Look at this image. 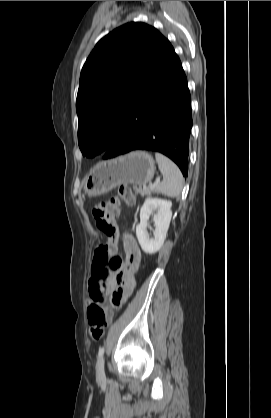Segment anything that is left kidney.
Returning <instances> with one entry per match:
<instances>
[{"instance_id":"1","label":"left kidney","mask_w":271,"mask_h":418,"mask_svg":"<svg viewBox=\"0 0 271 418\" xmlns=\"http://www.w3.org/2000/svg\"><path fill=\"white\" fill-rule=\"evenodd\" d=\"M171 207V201L159 198H147L142 205L140 224L136 226V236L145 253L154 254L163 246L172 217ZM153 213L155 230L153 232L154 237L151 238L147 233V226Z\"/></svg>"}]
</instances>
